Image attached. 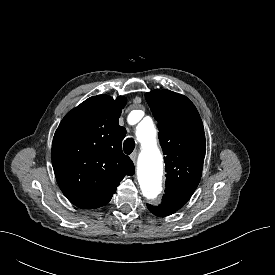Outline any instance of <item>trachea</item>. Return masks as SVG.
Masks as SVG:
<instances>
[{"instance_id": "3493384b", "label": "trachea", "mask_w": 275, "mask_h": 275, "mask_svg": "<svg viewBox=\"0 0 275 275\" xmlns=\"http://www.w3.org/2000/svg\"><path fill=\"white\" fill-rule=\"evenodd\" d=\"M124 152L129 155L133 152L135 148V141L132 138H128L124 141L123 144Z\"/></svg>"}]
</instances>
